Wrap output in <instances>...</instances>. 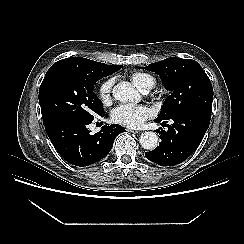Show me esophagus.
<instances>
[{
  "instance_id": "esophagus-1",
  "label": "esophagus",
  "mask_w": 244,
  "mask_h": 244,
  "mask_svg": "<svg viewBox=\"0 0 244 244\" xmlns=\"http://www.w3.org/2000/svg\"><path fill=\"white\" fill-rule=\"evenodd\" d=\"M127 132H130V133H139V131H137V130H133V129H127Z\"/></svg>"
}]
</instances>
